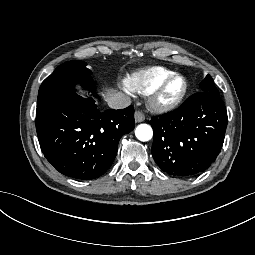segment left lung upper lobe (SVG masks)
I'll return each instance as SVG.
<instances>
[{
	"instance_id": "obj_1",
	"label": "left lung upper lobe",
	"mask_w": 255,
	"mask_h": 255,
	"mask_svg": "<svg viewBox=\"0 0 255 255\" xmlns=\"http://www.w3.org/2000/svg\"><path fill=\"white\" fill-rule=\"evenodd\" d=\"M200 88L203 92H212L219 95V91L217 90L214 81L210 75H207L205 79L200 83Z\"/></svg>"
}]
</instances>
